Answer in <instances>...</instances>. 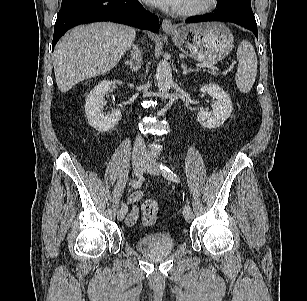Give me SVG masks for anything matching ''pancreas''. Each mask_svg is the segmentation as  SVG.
Wrapping results in <instances>:
<instances>
[{
  "mask_svg": "<svg viewBox=\"0 0 307 301\" xmlns=\"http://www.w3.org/2000/svg\"><path fill=\"white\" fill-rule=\"evenodd\" d=\"M212 75L216 76L217 75V72L215 69H212V71L210 72Z\"/></svg>",
  "mask_w": 307,
  "mask_h": 301,
  "instance_id": "pancreas-1",
  "label": "pancreas"
}]
</instances>
